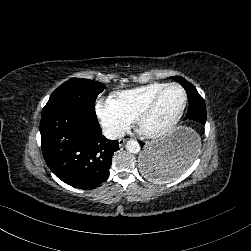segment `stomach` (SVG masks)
<instances>
[{"instance_id": "stomach-1", "label": "stomach", "mask_w": 251, "mask_h": 251, "mask_svg": "<svg viewBox=\"0 0 251 251\" xmlns=\"http://www.w3.org/2000/svg\"><path fill=\"white\" fill-rule=\"evenodd\" d=\"M198 138L193 129L181 126L161 140L148 142L140 157L143 172L148 174L150 171L173 168L178 170L182 167L181 157L192 152Z\"/></svg>"}]
</instances>
